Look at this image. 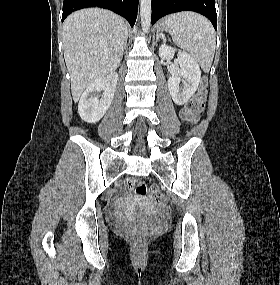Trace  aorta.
Returning <instances> with one entry per match:
<instances>
[{"instance_id":"obj_1","label":"aorta","mask_w":280,"mask_h":285,"mask_svg":"<svg viewBox=\"0 0 280 285\" xmlns=\"http://www.w3.org/2000/svg\"><path fill=\"white\" fill-rule=\"evenodd\" d=\"M140 17L142 30L148 33L151 25V0H140Z\"/></svg>"}]
</instances>
